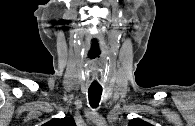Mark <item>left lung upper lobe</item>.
Listing matches in <instances>:
<instances>
[{
  "instance_id": "obj_1",
  "label": "left lung upper lobe",
  "mask_w": 195,
  "mask_h": 126,
  "mask_svg": "<svg viewBox=\"0 0 195 126\" xmlns=\"http://www.w3.org/2000/svg\"><path fill=\"white\" fill-rule=\"evenodd\" d=\"M129 126H151V124L141 120V119H132L129 122Z\"/></svg>"
}]
</instances>
